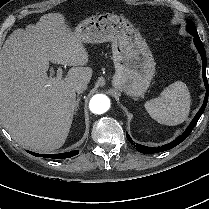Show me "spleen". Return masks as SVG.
<instances>
[{
    "mask_svg": "<svg viewBox=\"0 0 209 209\" xmlns=\"http://www.w3.org/2000/svg\"><path fill=\"white\" fill-rule=\"evenodd\" d=\"M190 92L184 82L167 86L160 96L145 103L149 115L158 123L174 126L183 123L190 112Z\"/></svg>",
    "mask_w": 209,
    "mask_h": 209,
    "instance_id": "1",
    "label": "spleen"
}]
</instances>
